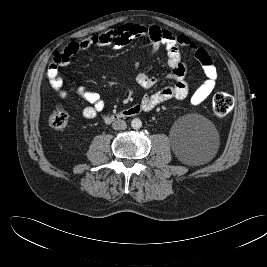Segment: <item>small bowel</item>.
Returning a JSON list of instances; mask_svg holds the SVG:
<instances>
[{
  "label": "small bowel",
  "mask_w": 267,
  "mask_h": 267,
  "mask_svg": "<svg viewBox=\"0 0 267 267\" xmlns=\"http://www.w3.org/2000/svg\"><path fill=\"white\" fill-rule=\"evenodd\" d=\"M138 37H147L151 41L150 56H153L161 46L166 48L167 60L165 67L169 69V73L166 76L169 83L153 93L146 94L141 99L140 106L144 111H150L167 100H182L188 96L189 85L185 80L187 66L182 61V48H188L194 52L195 58L202 65L206 76L204 82L192 94L190 105H200L214 91L218 77L217 68L205 49L197 46L187 36H176L157 25H143L140 23H126L80 42L68 44L63 51L53 58L48 68L47 79L51 87L61 99H67L69 90L64 86L60 69L66 66L74 55L91 47L112 46L115 49H120L132 39ZM160 81V78L145 72H141L136 76V82L144 89H152ZM76 94L87 102V105L75 104V108L80 110L84 118L93 119L104 110V101L97 92L89 91L85 87L79 86L76 88Z\"/></svg>",
  "instance_id": "small-bowel-1"
}]
</instances>
